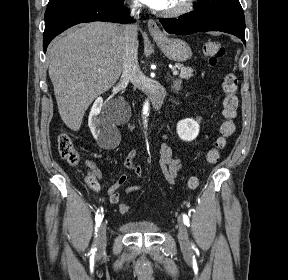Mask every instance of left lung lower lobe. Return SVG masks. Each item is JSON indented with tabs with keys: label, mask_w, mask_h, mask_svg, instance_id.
Masks as SVG:
<instances>
[{
	"label": "left lung lower lobe",
	"mask_w": 288,
	"mask_h": 280,
	"mask_svg": "<svg viewBox=\"0 0 288 280\" xmlns=\"http://www.w3.org/2000/svg\"><path fill=\"white\" fill-rule=\"evenodd\" d=\"M161 24L171 34H191L195 32L221 31L233 34L245 41V27L228 18L203 12L200 9L191 11L179 19H160Z\"/></svg>",
	"instance_id": "1"
}]
</instances>
